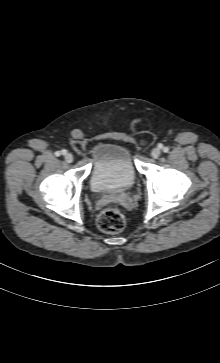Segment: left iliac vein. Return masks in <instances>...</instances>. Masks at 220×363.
Segmentation results:
<instances>
[{
    "mask_svg": "<svg viewBox=\"0 0 220 363\" xmlns=\"http://www.w3.org/2000/svg\"><path fill=\"white\" fill-rule=\"evenodd\" d=\"M160 154H161V150H160V148H158V147H156V148H154L152 151H151V156L153 157V158H158L159 156H160Z\"/></svg>",
    "mask_w": 220,
    "mask_h": 363,
    "instance_id": "4c4485c4",
    "label": "left iliac vein"
}]
</instances>
